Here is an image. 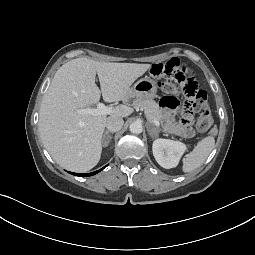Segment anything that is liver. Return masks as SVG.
Masks as SVG:
<instances>
[{
    "mask_svg": "<svg viewBox=\"0 0 255 255\" xmlns=\"http://www.w3.org/2000/svg\"><path fill=\"white\" fill-rule=\"evenodd\" d=\"M150 64L98 62L73 59L55 73L39 112L42 142L61 167L87 172L97 165L102 153V135L109 117H127L133 109L121 105L107 115L79 114L99 102L129 101L131 85ZM99 77L101 90L95 83Z\"/></svg>",
    "mask_w": 255,
    "mask_h": 255,
    "instance_id": "1",
    "label": "liver"
}]
</instances>
